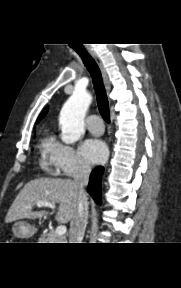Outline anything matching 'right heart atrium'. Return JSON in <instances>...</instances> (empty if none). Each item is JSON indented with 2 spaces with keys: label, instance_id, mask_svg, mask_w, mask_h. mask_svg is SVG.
<instances>
[{
  "label": "right heart atrium",
  "instance_id": "obj_1",
  "mask_svg": "<svg viewBox=\"0 0 181 288\" xmlns=\"http://www.w3.org/2000/svg\"><path fill=\"white\" fill-rule=\"evenodd\" d=\"M48 161L61 176H74L90 170L89 163L71 145L57 141H53L49 147Z\"/></svg>",
  "mask_w": 181,
  "mask_h": 288
}]
</instances>
